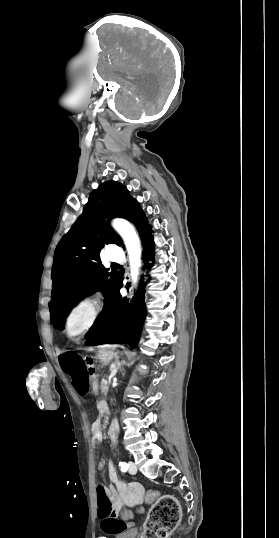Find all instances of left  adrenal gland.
<instances>
[{"mask_svg":"<svg viewBox=\"0 0 279 538\" xmlns=\"http://www.w3.org/2000/svg\"><path fill=\"white\" fill-rule=\"evenodd\" d=\"M115 362L117 364V368H121L122 364H120L119 358H116Z\"/></svg>","mask_w":279,"mask_h":538,"instance_id":"left-adrenal-gland-1","label":"left adrenal gland"}]
</instances>
